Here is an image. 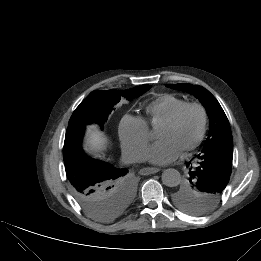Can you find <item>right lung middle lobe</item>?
Returning <instances> with one entry per match:
<instances>
[{
    "instance_id": "right-lung-middle-lobe-1",
    "label": "right lung middle lobe",
    "mask_w": 261,
    "mask_h": 261,
    "mask_svg": "<svg viewBox=\"0 0 261 261\" xmlns=\"http://www.w3.org/2000/svg\"><path fill=\"white\" fill-rule=\"evenodd\" d=\"M148 89L150 85L125 91H93L76 108L68 126L95 122L103 129L105 121L120 100L131 101ZM125 175L126 172H121L96 184L78 185L70 182L71 192L88 215L100 221H111L127 209L134 196L133 183Z\"/></svg>"
}]
</instances>
